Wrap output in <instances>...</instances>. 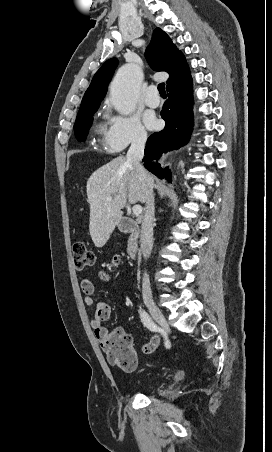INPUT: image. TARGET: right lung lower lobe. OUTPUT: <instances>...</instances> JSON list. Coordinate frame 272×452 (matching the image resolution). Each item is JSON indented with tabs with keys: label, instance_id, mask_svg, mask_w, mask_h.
<instances>
[{
	"label": "right lung lower lobe",
	"instance_id": "obj_1",
	"mask_svg": "<svg viewBox=\"0 0 272 452\" xmlns=\"http://www.w3.org/2000/svg\"><path fill=\"white\" fill-rule=\"evenodd\" d=\"M166 122L165 128L152 134L146 144L143 164L147 170L160 179L171 182V171L162 169L160 164L151 162L163 152L184 146L191 135L193 127L192 78L168 90V100L161 111Z\"/></svg>",
	"mask_w": 272,
	"mask_h": 452
}]
</instances>
